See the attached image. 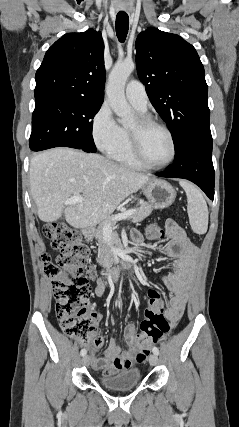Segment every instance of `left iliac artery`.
<instances>
[{"instance_id": "left-iliac-artery-1", "label": "left iliac artery", "mask_w": 239, "mask_h": 427, "mask_svg": "<svg viewBox=\"0 0 239 427\" xmlns=\"http://www.w3.org/2000/svg\"><path fill=\"white\" fill-rule=\"evenodd\" d=\"M153 353L158 355L159 354V349L157 347H153L152 349Z\"/></svg>"}]
</instances>
